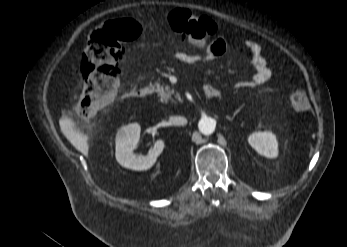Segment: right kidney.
<instances>
[{
	"mask_svg": "<svg viewBox=\"0 0 347 247\" xmlns=\"http://www.w3.org/2000/svg\"><path fill=\"white\" fill-rule=\"evenodd\" d=\"M140 132V125L133 123L121 127L116 135V160L121 166L135 171L151 168L164 149V142L157 140L146 156L135 153Z\"/></svg>",
	"mask_w": 347,
	"mask_h": 247,
	"instance_id": "obj_1",
	"label": "right kidney"
}]
</instances>
